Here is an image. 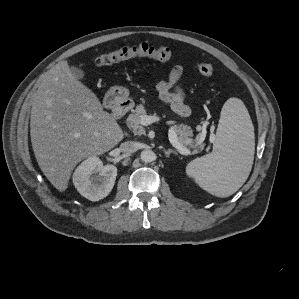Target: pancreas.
Returning a JSON list of instances; mask_svg holds the SVG:
<instances>
[{"instance_id": "obj_1", "label": "pancreas", "mask_w": 299, "mask_h": 299, "mask_svg": "<svg viewBox=\"0 0 299 299\" xmlns=\"http://www.w3.org/2000/svg\"><path fill=\"white\" fill-rule=\"evenodd\" d=\"M143 115H146V109L143 104H139L132 110V113L127 118V126L135 135L145 134V129L140 121L141 116ZM173 128L176 132L177 140L182 146L200 149L204 147L202 144V139L204 137L203 133H200L195 139H192L193 130L190 126L179 124L174 125Z\"/></svg>"}]
</instances>
